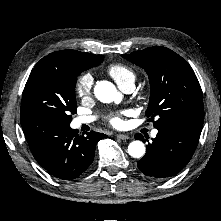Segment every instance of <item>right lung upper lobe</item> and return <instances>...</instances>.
<instances>
[{
	"label": "right lung upper lobe",
	"mask_w": 221,
	"mask_h": 221,
	"mask_svg": "<svg viewBox=\"0 0 221 221\" xmlns=\"http://www.w3.org/2000/svg\"><path fill=\"white\" fill-rule=\"evenodd\" d=\"M104 59L103 55H94L76 50H62L50 53L42 58L34 67L56 68L76 75L84 67H94Z\"/></svg>",
	"instance_id": "cb5924a9"
}]
</instances>
